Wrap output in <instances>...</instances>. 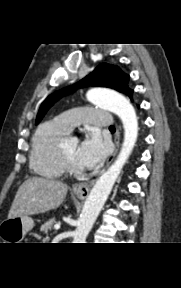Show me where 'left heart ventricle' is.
Masks as SVG:
<instances>
[{"label": "left heart ventricle", "instance_id": "left-heart-ventricle-1", "mask_svg": "<svg viewBox=\"0 0 181 288\" xmlns=\"http://www.w3.org/2000/svg\"><path fill=\"white\" fill-rule=\"evenodd\" d=\"M77 149H78V142L74 139H68L63 144V150L65 154L74 163V165L80 167L76 160Z\"/></svg>", "mask_w": 181, "mask_h": 288}]
</instances>
